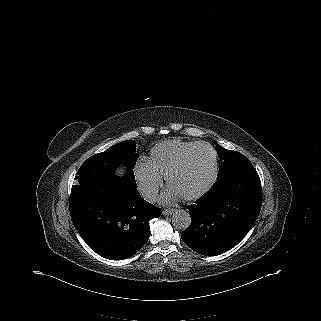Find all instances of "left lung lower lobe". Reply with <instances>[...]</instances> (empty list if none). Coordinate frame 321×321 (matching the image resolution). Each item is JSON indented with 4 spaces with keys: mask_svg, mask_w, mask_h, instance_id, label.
I'll return each instance as SVG.
<instances>
[{
    "mask_svg": "<svg viewBox=\"0 0 321 321\" xmlns=\"http://www.w3.org/2000/svg\"><path fill=\"white\" fill-rule=\"evenodd\" d=\"M261 204V182L253 165L231 168L203 197L188 206L191 224L181 238L199 254H223L247 235Z\"/></svg>",
    "mask_w": 321,
    "mask_h": 321,
    "instance_id": "1",
    "label": "left lung lower lobe"
}]
</instances>
